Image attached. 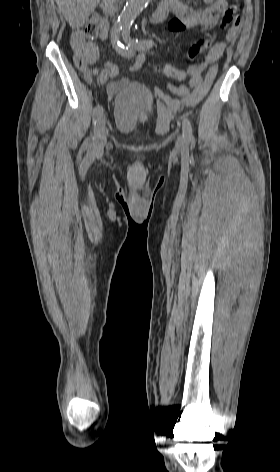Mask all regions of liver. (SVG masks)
<instances>
[{
	"instance_id": "1",
	"label": "liver",
	"mask_w": 280,
	"mask_h": 472,
	"mask_svg": "<svg viewBox=\"0 0 280 472\" xmlns=\"http://www.w3.org/2000/svg\"><path fill=\"white\" fill-rule=\"evenodd\" d=\"M100 0H56V3L72 28H79L88 20Z\"/></svg>"
}]
</instances>
